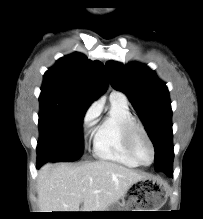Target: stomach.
Masks as SVG:
<instances>
[{"instance_id": "stomach-1", "label": "stomach", "mask_w": 203, "mask_h": 219, "mask_svg": "<svg viewBox=\"0 0 203 219\" xmlns=\"http://www.w3.org/2000/svg\"><path fill=\"white\" fill-rule=\"evenodd\" d=\"M129 195L123 197L122 202L112 204L105 211H158L166 201L165 187L150 178H145L133 184ZM143 210H129L132 208ZM104 216H115V212H106Z\"/></svg>"}]
</instances>
